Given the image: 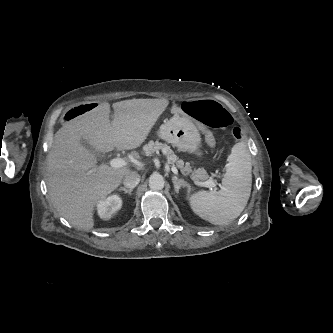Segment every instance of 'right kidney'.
Returning a JSON list of instances; mask_svg holds the SVG:
<instances>
[{
  "label": "right kidney",
  "instance_id": "1",
  "mask_svg": "<svg viewBox=\"0 0 333 333\" xmlns=\"http://www.w3.org/2000/svg\"><path fill=\"white\" fill-rule=\"evenodd\" d=\"M122 199L118 195H111L102 200L97 204L98 214L101 219L109 220L111 216L121 209Z\"/></svg>",
  "mask_w": 333,
  "mask_h": 333
}]
</instances>
